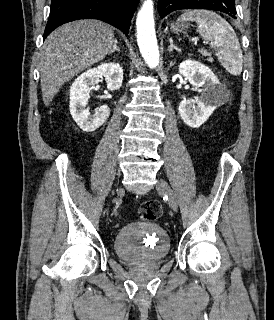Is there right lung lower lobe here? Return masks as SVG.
I'll return each instance as SVG.
<instances>
[{
  "instance_id": "1",
  "label": "right lung lower lobe",
  "mask_w": 274,
  "mask_h": 320,
  "mask_svg": "<svg viewBox=\"0 0 274 320\" xmlns=\"http://www.w3.org/2000/svg\"><path fill=\"white\" fill-rule=\"evenodd\" d=\"M138 0H52L44 39L60 25L79 19H98L128 34Z\"/></svg>"
}]
</instances>
